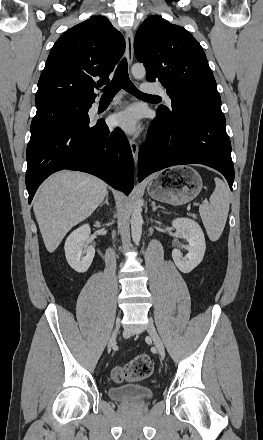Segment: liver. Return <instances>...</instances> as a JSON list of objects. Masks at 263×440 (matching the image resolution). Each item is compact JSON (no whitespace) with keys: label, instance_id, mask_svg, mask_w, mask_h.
I'll list each match as a JSON object with an SVG mask.
<instances>
[{"label":"liver","instance_id":"obj_1","mask_svg":"<svg viewBox=\"0 0 263 440\" xmlns=\"http://www.w3.org/2000/svg\"><path fill=\"white\" fill-rule=\"evenodd\" d=\"M107 194V184L86 173L60 171L48 178L33 202L47 251L54 252L67 232L88 218Z\"/></svg>","mask_w":263,"mask_h":440}]
</instances>
